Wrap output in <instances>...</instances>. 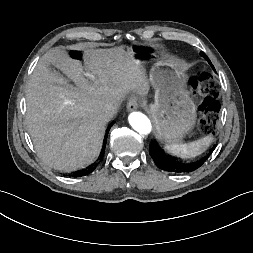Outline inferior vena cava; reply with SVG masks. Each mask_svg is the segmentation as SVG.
<instances>
[{"label":"inferior vena cava","instance_id":"obj_1","mask_svg":"<svg viewBox=\"0 0 253 253\" xmlns=\"http://www.w3.org/2000/svg\"><path fill=\"white\" fill-rule=\"evenodd\" d=\"M118 110V105L113 104V103H108L104 107V114L107 118H112Z\"/></svg>","mask_w":253,"mask_h":253}]
</instances>
